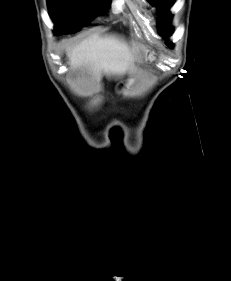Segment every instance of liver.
Here are the masks:
<instances>
[{
	"label": "liver",
	"instance_id": "liver-1",
	"mask_svg": "<svg viewBox=\"0 0 231 281\" xmlns=\"http://www.w3.org/2000/svg\"><path fill=\"white\" fill-rule=\"evenodd\" d=\"M139 47L115 35L95 34L67 51L72 68L88 66L97 79L121 77L135 70Z\"/></svg>",
	"mask_w": 231,
	"mask_h": 281
}]
</instances>
